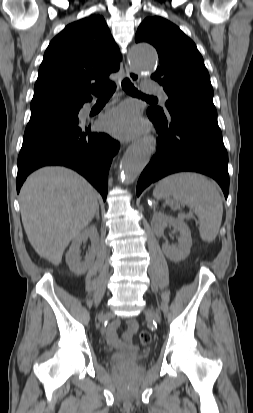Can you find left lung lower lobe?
Returning a JSON list of instances; mask_svg holds the SVG:
<instances>
[{"label": "left lung lower lobe", "instance_id": "obj_1", "mask_svg": "<svg viewBox=\"0 0 253 413\" xmlns=\"http://www.w3.org/2000/svg\"><path fill=\"white\" fill-rule=\"evenodd\" d=\"M157 133V151L142 172L136 194L151 183L176 172L194 171L208 175L229 192L228 154L217 116L177 109L167 116L147 110Z\"/></svg>", "mask_w": 253, "mask_h": 413}]
</instances>
